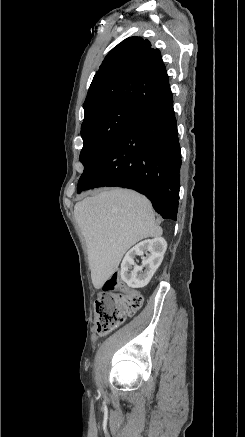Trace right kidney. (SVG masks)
<instances>
[{"label":"right kidney","mask_w":245,"mask_h":437,"mask_svg":"<svg viewBox=\"0 0 245 437\" xmlns=\"http://www.w3.org/2000/svg\"><path fill=\"white\" fill-rule=\"evenodd\" d=\"M166 249L167 242L161 237L138 243L126 253L121 263V279L131 288H143L159 268ZM137 255L142 256L141 266L134 262Z\"/></svg>","instance_id":"obj_1"}]
</instances>
